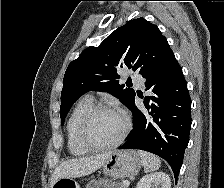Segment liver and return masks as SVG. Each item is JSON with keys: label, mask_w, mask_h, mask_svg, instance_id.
Listing matches in <instances>:
<instances>
[{"label": "liver", "mask_w": 224, "mask_h": 188, "mask_svg": "<svg viewBox=\"0 0 224 188\" xmlns=\"http://www.w3.org/2000/svg\"><path fill=\"white\" fill-rule=\"evenodd\" d=\"M112 152H106L98 155L73 158L61 162L54 170L50 186L60 178H77L89 175L104 165Z\"/></svg>", "instance_id": "1"}]
</instances>
